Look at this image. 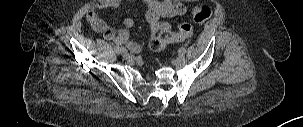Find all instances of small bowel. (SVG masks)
<instances>
[{"label": "small bowel", "mask_w": 303, "mask_h": 127, "mask_svg": "<svg viewBox=\"0 0 303 127\" xmlns=\"http://www.w3.org/2000/svg\"><path fill=\"white\" fill-rule=\"evenodd\" d=\"M123 0H100L92 6L86 15L94 31L101 33L105 40L112 41L117 47L125 46L131 53L138 54L143 51L144 45L130 41V30L134 25L131 18H125L122 27L116 31L111 28L99 15L98 11L118 8ZM136 1V0H128ZM147 7L146 20L149 24L150 35L155 36L163 30H170L171 26L164 21L165 18L182 16L186 7L181 2L173 0H141Z\"/></svg>", "instance_id": "c3829d8e"}]
</instances>
